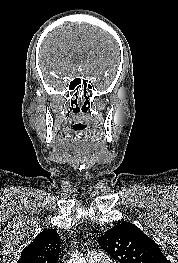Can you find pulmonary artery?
Instances as JSON below:
<instances>
[{
  "label": "pulmonary artery",
  "mask_w": 178,
  "mask_h": 263,
  "mask_svg": "<svg viewBox=\"0 0 178 263\" xmlns=\"http://www.w3.org/2000/svg\"><path fill=\"white\" fill-rule=\"evenodd\" d=\"M88 263H110V261L104 253L91 251L88 253Z\"/></svg>",
  "instance_id": "1"
}]
</instances>
